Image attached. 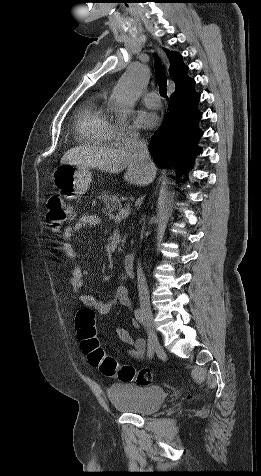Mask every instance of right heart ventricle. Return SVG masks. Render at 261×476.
Segmentation results:
<instances>
[{"label":"right heart ventricle","instance_id":"obj_1","mask_svg":"<svg viewBox=\"0 0 261 476\" xmlns=\"http://www.w3.org/2000/svg\"><path fill=\"white\" fill-rule=\"evenodd\" d=\"M114 123L105 106V96L90 97L78 117V131L81 139L90 144H109L113 140Z\"/></svg>","mask_w":261,"mask_h":476}]
</instances>
